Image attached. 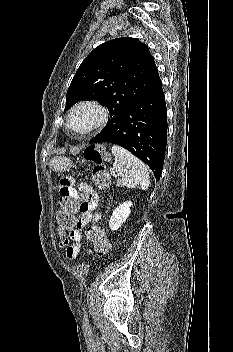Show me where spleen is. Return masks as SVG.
Here are the masks:
<instances>
[{
  "label": "spleen",
  "mask_w": 233,
  "mask_h": 352,
  "mask_svg": "<svg viewBox=\"0 0 233 352\" xmlns=\"http://www.w3.org/2000/svg\"><path fill=\"white\" fill-rule=\"evenodd\" d=\"M111 150L115 156L113 169L122 174V185L147 190L150 179L145 164L123 147L113 145Z\"/></svg>",
  "instance_id": "spleen-1"
}]
</instances>
